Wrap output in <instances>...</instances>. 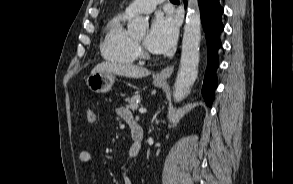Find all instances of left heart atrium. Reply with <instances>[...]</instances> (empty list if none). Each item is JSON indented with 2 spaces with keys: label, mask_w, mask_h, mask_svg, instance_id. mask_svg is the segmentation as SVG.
<instances>
[{
  "label": "left heart atrium",
  "mask_w": 293,
  "mask_h": 184,
  "mask_svg": "<svg viewBox=\"0 0 293 184\" xmlns=\"http://www.w3.org/2000/svg\"><path fill=\"white\" fill-rule=\"evenodd\" d=\"M177 25L171 17H156L147 34L145 44L153 53H165L175 44Z\"/></svg>",
  "instance_id": "left-heart-atrium-1"
}]
</instances>
